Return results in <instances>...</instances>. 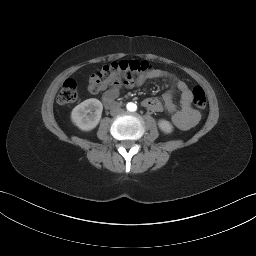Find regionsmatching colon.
I'll return each instance as SVG.
<instances>
[{"instance_id": "obj_1", "label": "colon", "mask_w": 256, "mask_h": 256, "mask_svg": "<svg viewBox=\"0 0 256 256\" xmlns=\"http://www.w3.org/2000/svg\"><path fill=\"white\" fill-rule=\"evenodd\" d=\"M155 69L146 61L122 60L114 61L102 66L89 77V89L92 92L100 91L106 84L120 79L137 78L154 72ZM77 82L73 78L64 81L58 94L60 104L72 103L77 99ZM193 104L198 109H204L207 99L204 90L196 86L192 90Z\"/></svg>"}]
</instances>
